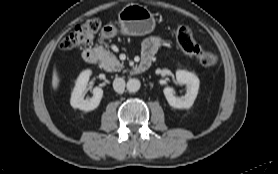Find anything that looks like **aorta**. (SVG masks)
Masks as SVG:
<instances>
[{
  "label": "aorta",
  "mask_w": 278,
  "mask_h": 174,
  "mask_svg": "<svg viewBox=\"0 0 278 174\" xmlns=\"http://www.w3.org/2000/svg\"><path fill=\"white\" fill-rule=\"evenodd\" d=\"M141 83L138 79L132 78L127 82V90L131 93H135L140 89Z\"/></svg>",
  "instance_id": "1"
}]
</instances>
